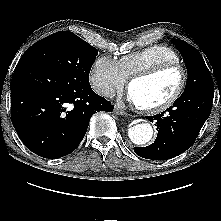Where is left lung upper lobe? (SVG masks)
<instances>
[{
	"label": "left lung upper lobe",
	"mask_w": 221,
	"mask_h": 221,
	"mask_svg": "<svg viewBox=\"0 0 221 221\" xmlns=\"http://www.w3.org/2000/svg\"><path fill=\"white\" fill-rule=\"evenodd\" d=\"M172 41L183 56L188 72V79L183 94L199 87L213 84L212 77L201 54L183 40L173 39Z\"/></svg>",
	"instance_id": "obj_1"
}]
</instances>
